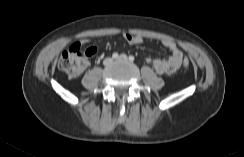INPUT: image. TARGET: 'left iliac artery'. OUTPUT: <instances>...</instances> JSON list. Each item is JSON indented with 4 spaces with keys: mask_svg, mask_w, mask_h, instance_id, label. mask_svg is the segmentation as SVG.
<instances>
[{
    "mask_svg": "<svg viewBox=\"0 0 244 157\" xmlns=\"http://www.w3.org/2000/svg\"><path fill=\"white\" fill-rule=\"evenodd\" d=\"M134 59H135L134 56H132V55L129 56L130 61H134Z\"/></svg>",
    "mask_w": 244,
    "mask_h": 157,
    "instance_id": "left-iliac-artery-1",
    "label": "left iliac artery"
}]
</instances>
